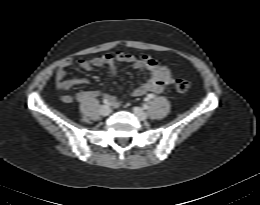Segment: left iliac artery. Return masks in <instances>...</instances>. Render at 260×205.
<instances>
[{
  "label": "left iliac artery",
  "mask_w": 260,
  "mask_h": 205,
  "mask_svg": "<svg viewBox=\"0 0 260 205\" xmlns=\"http://www.w3.org/2000/svg\"><path fill=\"white\" fill-rule=\"evenodd\" d=\"M150 98H152V96H150ZM143 108H144V109H148V105H147V104H144V105H143Z\"/></svg>",
  "instance_id": "44dca946"
}]
</instances>
